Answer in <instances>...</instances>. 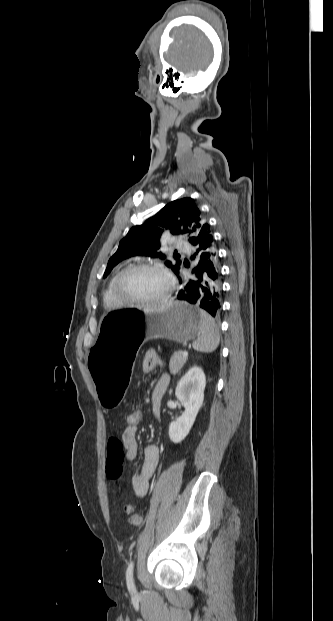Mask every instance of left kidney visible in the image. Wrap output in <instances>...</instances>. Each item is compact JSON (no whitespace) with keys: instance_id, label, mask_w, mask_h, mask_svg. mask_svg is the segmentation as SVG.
<instances>
[{"instance_id":"left-kidney-1","label":"left kidney","mask_w":333,"mask_h":621,"mask_svg":"<svg viewBox=\"0 0 333 621\" xmlns=\"http://www.w3.org/2000/svg\"><path fill=\"white\" fill-rule=\"evenodd\" d=\"M206 377L203 370L194 366L179 381L175 395L185 411L169 425V437L174 443L181 442L190 432L203 404Z\"/></svg>"}]
</instances>
